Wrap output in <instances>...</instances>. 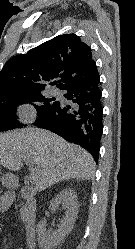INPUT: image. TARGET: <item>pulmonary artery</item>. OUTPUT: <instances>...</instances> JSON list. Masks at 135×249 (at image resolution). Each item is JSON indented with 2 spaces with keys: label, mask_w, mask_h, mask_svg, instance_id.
Masks as SVG:
<instances>
[{
  "label": "pulmonary artery",
  "mask_w": 135,
  "mask_h": 249,
  "mask_svg": "<svg viewBox=\"0 0 135 249\" xmlns=\"http://www.w3.org/2000/svg\"><path fill=\"white\" fill-rule=\"evenodd\" d=\"M51 93L53 96H60V91L58 89H53Z\"/></svg>",
  "instance_id": "pulmonary-artery-1"
}]
</instances>
